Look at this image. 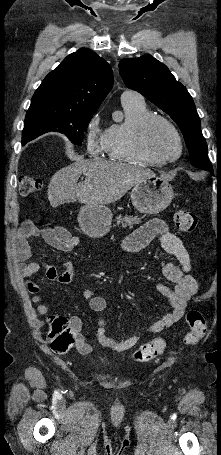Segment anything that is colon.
<instances>
[{
	"instance_id": "1",
	"label": "colon",
	"mask_w": 221,
	"mask_h": 455,
	"mask_svg": "<svg viewBox=\"0 0 221 455\" xmlns=\"http://www.w3.org/2000/svg\"><path fill=\"white\" fill-rule=\"evenodd\" d=\"M42 187V180L35 177L23 176L19 182V192L23 196L36 193ZM174 222L180 231L190 233L196 229L197 217L189 211H178L174 215ZM186 322L189 326V332L185 337V341L187 344H194L206 332L205 318L199 311L190 310L186 314ZM48 337L55 352L63 353L69 350L74 344V333L70 320L65 316L52 317ZM165 347L166 342L163 338H155L142 345L136 351L135 358L140 362L149 361L162 354Z\"/></svg>"
}]
</instances>
